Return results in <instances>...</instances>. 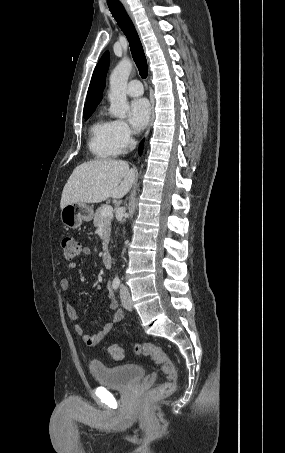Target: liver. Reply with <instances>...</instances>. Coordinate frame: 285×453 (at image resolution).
Wrapping results in <instances>:
<instances>
[{"instance_id":"6515ba94","label":"liver","mask_w":285,"mask_h":453,"mask_svg":"<svg viewBox=\"0 0 285 453\" xmlns=\"http://www.w3.org/2000/svg\"><path fill=\"white\" fill-rule=\"evenodd\" d=\"M136 170L123 160L97 159L77 166L64 186L60 207L84 202L99 203L124 197L131 189Z\"/></svg>"}]
</instances>
